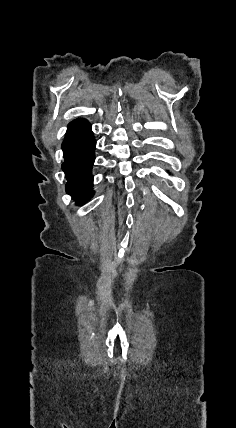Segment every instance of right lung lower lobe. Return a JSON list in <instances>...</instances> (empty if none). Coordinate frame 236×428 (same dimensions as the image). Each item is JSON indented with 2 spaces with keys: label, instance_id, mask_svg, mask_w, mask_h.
I'll return each mask as SVG.
<instances>
[{
  "label": "right lung lower lobe",
  "instance_id": "1",
  "mask_svg": "<svg viewBox=\"0 0 236 428\" xmlns=\"http://www.w3.org/2000/svg\"><path fill=\"white\" fill-rule=\"evenodd\" d=\"M95 139L90 123L78 118L68 125L62 143L64 163L62 169L68 180L66 191L82 205L93 196L92 165L95 159Z\"/></svg>",
  "mask_w": 236,
  "mask_h": 428
}]
</instances>
